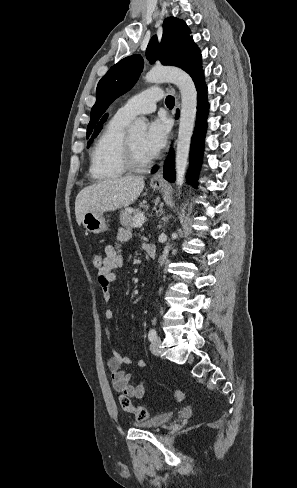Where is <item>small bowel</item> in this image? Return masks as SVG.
<instances>
[{
    "label": "small bowel",
    "instance_id": "obj_1",
    "mask_svg": "<svg viewBox=\"0 0 297 488\" xmlns=\"http://www.w3.org/2000/svg\"><path fill=\"white\" fill-rule=\"evenodd\" d=\"M131 231L126 228H120L117 232L116 243L106 245L104 248L102 267L97 270V278L104 296L105 309L104 314L108 320L113 318V310L110 307L111 301V284L116 280L115 270L124 263V256L120 250L123 243L131 238ZM108 338H111L110 329H107ZM108 365L111 373V384L115 391L128 397L140 399L145 394L143 382L133 383L132 374L126 370V367L132 366L133 362L117 351H113L108 359ZM138 368H144L146 362L143 359L137 361Z\"/></svg>",
    "mask_w": 297,
    "mask_h": 488
}]
</instances>
